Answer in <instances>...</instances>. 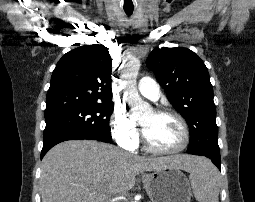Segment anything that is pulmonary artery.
Returning <instances> with one entry per match:
<instances>
[{
  "label": "pulmonary artery",
  "instance_id": "e3ab8cb5",
  "mask_svg": "<svg viewBox=\"0 0 255 202\" xmlns=\"http://www.w3.org/2000/svg\"><path fill=\"white\" fill-rule=\"evenodd\" d=\"M138 90L142 96L153 101L158 100L160 97L159 85L150 77H143L140 79L138 83Z\"/></svg>",
  "mask_w": 255,
  "mask_h": 202
}]
</instances>
